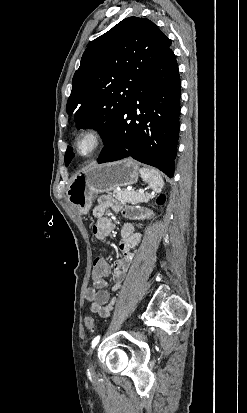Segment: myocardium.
<instances>
[{
  "label": "myocardium",
  "mask_w": 247,
  "mask_h": 413,
  "mask_svg": "<svg viewBox=\"0 0 247 413\" xmlns=\"http://www.w3.org/2000/svg\"><path fill=\"white\" fill-rule=\"evenodd\" d=\"M90 137L94 140V144L88 152L82 149V141ZM107 139L106 133L97 127H88L79 132L76 138V148L78 153L86 158L94 156L105 144Z\"/></svg>",
  "instance_id": "f54148a6"
}]
</instances>
